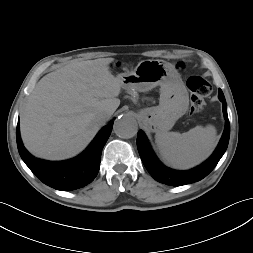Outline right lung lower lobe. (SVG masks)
I'll list each match as a JSON object with an SVG mask.
<instances>
[{"label":"right lung lower lobe","instance_id":"right-lung-lower-lobe-1","mask_svg":"<svg viewBox=\"0 0 253 253\" xmlns=\"http://www.w3.org/2000/svg\"><path fill=\"white\" fill-rule=\"evenodd\" d=\"M113 121L104 127L88 148L79 156L59 162L34 158L23 146L19 121L16 139L19 154L30 170L46 185L62 191L82 188L97 176L102 149L112 131Z\"/></svg>","mask_w":253,"mask_h":253}]
</instances>
